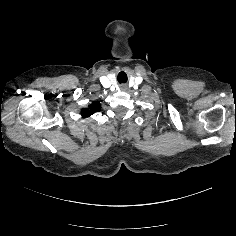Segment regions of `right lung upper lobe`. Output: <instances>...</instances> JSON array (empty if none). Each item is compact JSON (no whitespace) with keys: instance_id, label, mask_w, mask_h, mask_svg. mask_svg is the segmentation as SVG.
Wrapping results in <instances>:
<instances>
[{"instance_id":"cb5924a9","label":"right lung upper lobe","mask_w":236,"mask_h":236,"mask_svg":"<svg viewBox=\"0 0 236 236\" xmlns=\"http://www.w3.org/2000/svg\"><path fill=\"white\" fill-rule=\"evenodd\" d=\"M101 109V105L97 102H93L89 108H84L81 113L82 116L84 117H89L91 114H93L94 112H98Z\"/></svg>"}]
</instances>
